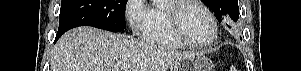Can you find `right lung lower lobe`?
<instances>
[{"label":"right lung lower lobe","instance_id":"obj_1","mask_svg":"<svg viewBox=\"0 0 301 71\" xmlns=\"http://www.w3.org/2000/svg\"><path fill=\"white\" fill-rule=\"evenodd\" d=\"M62 34H63V33H61V32L58 31V33H57V35H56L55 42L58 40V38H59Z\"/></svg>","mask_w":301,"mask_h":71}]
</instances>
